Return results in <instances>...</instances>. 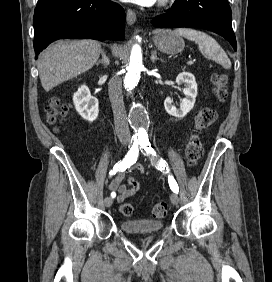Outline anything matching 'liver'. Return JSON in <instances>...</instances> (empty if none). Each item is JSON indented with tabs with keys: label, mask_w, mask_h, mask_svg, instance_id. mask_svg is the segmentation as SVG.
Segmentation results:
<instances>
[{
	"label": "liver",
	"mask_w": 272,
	"mask_h": 282,
	"mask_svg": "<svg viewBox=\"0 0 272 282\" xmlns=\"http://www.w3.org/2000/svg\"><path fill=\"white\" fill-rule=\"evenodd\" d=\"M101 53V44L94 40L59 41L40 56L39 77L48 92L57 85L91 69Z\"/></svg>",
	"instance_id": "liver-1"
}]
</instances>
